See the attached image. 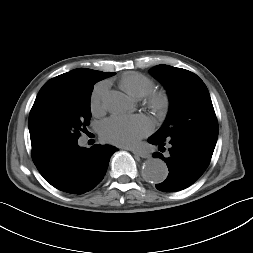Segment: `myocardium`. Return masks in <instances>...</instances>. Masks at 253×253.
<instances>
[{"mask_svg":"<svg viewBox=\"0 0 253 253\" xmlns=\"http://www.w3.org/2000/svg\"><path fill=\"white\" fill-rule=\"evenodd\" d=\"M145 104L157 117L163 118L170 109V97L165 91H151L145 97Z\"/></svg>","mask_w":253,"mask_h":253,"instance_id":"f54148a6","label":"myocardium"}]
</instances>
